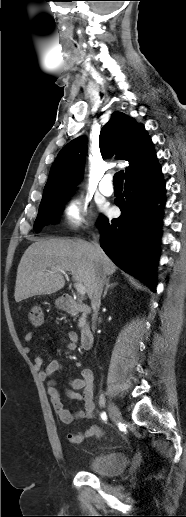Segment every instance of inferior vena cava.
Instances as JSON below:
<instances>
[{"instance_id": "inferior-vena-cava-1", "label": "inferior vena cava", "mask_w": 186, "mask_h": 517, "mask_svg": "<svg viewBox=\"0 0 186 517\" xmlns=\"http://www.w3.org/2000/svg\"><path fill=\"white\" fill-rule=\"evenodd\" d=\"M94 246L96 248V251H97L98 255L101 256L103 251L100 248L99 244L97 242H95ZM106 281H107L106 280V274L102 270H99L97 272V274H96V278H95V281L93 283V297H92V300H91V304H92V307H93V310H94V314H93V323L94 324H95L96 319H97V309H98V307L100 305L101 294H102V291H103V286L106 283Z\"/></svg>"}]
</instances>
